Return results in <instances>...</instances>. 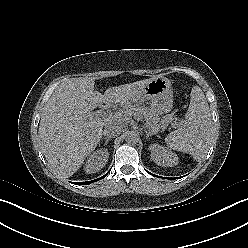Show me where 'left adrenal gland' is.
<instances>
[{"label":"left adrenal gland","instance_id":"a2214340","mask_svg":"<svg viewBox=\"0 0 248 248\" xmlns=\"http://www.w3.org/2000/svg\"><path fill=\"white\" fill-rule=\"evenodd\" d=\"M144 132L146 133V138L147 139L149 138V136H152V135L156 134V133H153V132H149L147 130H144Z\"/></svg>","mask_w":248,"mask_h":248}]
</instances>
